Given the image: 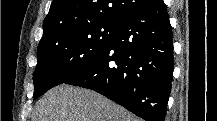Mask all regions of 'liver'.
I'll return each instance as SVG.
<instances>
[{
    "label": "liver",
    "mask_w": 217,
    "mask_h": 121,
    "mask_svg": "<svg viewBox=\"0 0 217 121\" xmlns=\"http://www.w3.org/2000/svg\"><path fill=\"white\" fill-rule=\"evenodd\" d=\"M33 121H138L95 91L62 84L36 103Z\"/></svg>",
    "instance_id": "liver-1"
}]
</instances>
